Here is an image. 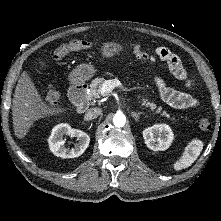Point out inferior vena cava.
I'll return each instance as SVG.
<instances>
[{
  "mask_svg": "<svg viewBox=\"0 0 221 221\" xmlns=\"http://www.w3.org/2000/svg\"><path fill=\"white\" fill-rule=\"evenodd\" d=\"M102 110L100 108H90L88 111L85 113V118L88 120L97 118L101 114Z\"/></svg>",
  "mask_w": 221,
  "mask_h": 221,
  "instance_id": "602c4592",
  "label": "inferior vena cava"
}]
</instances>
